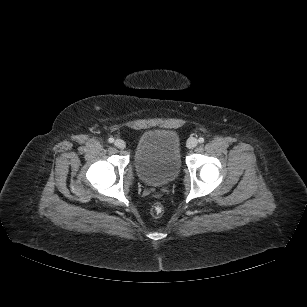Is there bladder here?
<instances>
[{
	"mask_svg": "<svg viewBox=\"0 0 307 307\" xmlns=\"http://www.w3.org/2000/svg\"><path fill=\"white\" fill-rule=\"evenodd\" d=\"M134 167L138 178L150 186L172 182L180 172L181 157L177 134L168 129H153L137 141Z\"/></svg>",
	"mask_w": 307,
	"mask_h": 307,
	"instance_id": "1",
	"label": "bladder"
}]
</instances>
